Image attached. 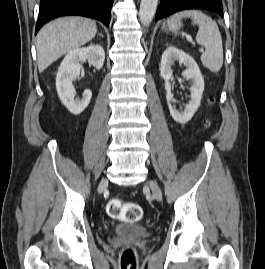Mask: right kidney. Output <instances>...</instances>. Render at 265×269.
I'll return each mask as SVG.
<instances>
[{"instance_id": "obj_1", "label": "right kidney", "mask_w": 265, "mask_h": 269, "mask_svg": "<svg viewBox=\"0 0 265 269\" xmlns=\"http://www.w3.org/2000/svg\"><path fill=\"white\" fill-rule=\"evenodd\" d=\"M105 59L104 49L100 45H89L70 51L63 59L56 76L58 96L67 109L79 115L90 103L92 92L85 90L82 99H75L72 80L80 75L81 63L86 60L96 69H101Z\"/></svg>"}]
</instances>
